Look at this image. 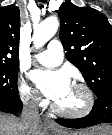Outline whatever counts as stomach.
Masks as SVG:
<instances>
[{
	"label": "stomach",
	"instance_id": "obj_1",
	"mask_svg": "<svg viewBox=\"0 0 112 135\" xmlns=\"http://www.w3.org/2000/svg\"><path fill=\"white\" fill-rule=\"evenodd\" d=\"M111 134H112V127L98 126L91 130H86L82 132L63 131L58 133L57 135H111Z\"/></svg>",
	"mask_w": 112,
	"mask_h": 135
}]
</instances>
